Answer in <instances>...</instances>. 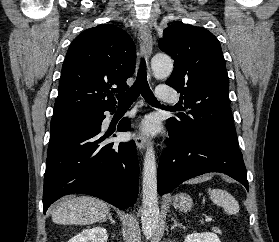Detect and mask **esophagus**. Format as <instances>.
I'll return each mask as SVG.
<instances>
[{"label":"esophagus","instance_id":"obj_1","mask_svg":"<svg viewBox=\"0 0 279 242\" xmlns=\"http://www.w3.org/2000/svg\"><path fill=\"white\" fill-rule=\"evenodd\" d=\"M138 37H139L141 49L146 59V65L148 68V60L152 50V36L148 26L143 25L139 28ZM148 78L150 79L149 73H148ZM147 141L148 140L145 134L140 132L136 134L135 137L136 146L141 153H143V151L147 147Z\"/></svg>","mask_w":279,"mask_h":242}]
</instances>
